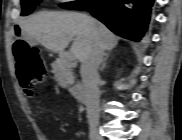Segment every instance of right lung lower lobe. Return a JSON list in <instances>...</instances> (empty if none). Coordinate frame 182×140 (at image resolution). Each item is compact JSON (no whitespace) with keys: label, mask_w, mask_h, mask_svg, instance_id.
Wrapping results in <instances>:
<instances>
[{"label":"right lung lower lobe","mask_w":182,"mask_h":140,"mask_svg":"<svg viewBox=\"0 0 182 140\" xmlns=\"http://www.w3.org/2000/svg\"><path fill=\"white\" fill-rule=\"evenodd\" d=\"M154 0H101L85 7L114 33L139 41L147 29Z\"/></svg>","instance_id":"1"}]
</instances>
